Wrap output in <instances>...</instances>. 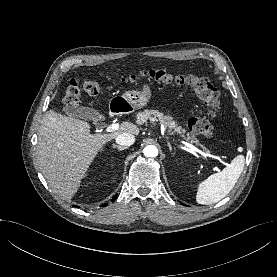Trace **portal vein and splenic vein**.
Listing matches in <instances>:
<instances>
[{"instance_id": "1", "label": "portal vein and splenic vein", "mask_w": 277, "mask_h": 277, "mask_svg": "<svg viewBox=\"0 0 277 277\" xmlns=\"http://www.w3.org/2000/svg\"><path fill=\"white\" fill-rule=\"evenodd\" d=\"M119 129V124H110L107 128H106V131L107 132H113V131H116ZM181 143H183L185 146L189 147L191 150H193L194 152H197L199 154H201L204 158H212V159H217L219 160L220 162L222 161V159L219 157V156H215V155H212L210 154V151L209 150H199L198 148H196L194 145L186 142V141H183L181 140Z\"/></svg>"}]
</instances>
